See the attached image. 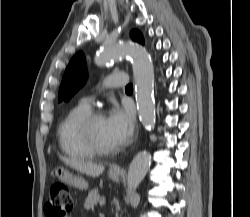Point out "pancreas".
<instances>
[{
    "label": "pancreas",
    "instance_id": "pancreas-1",
    "mask_svg": "<svg viewBox=\"0 0 250 217\" xmlns=\"http://www.w3.org/2000/svg\"><path fill=\"white\" fill-rule=\"evenodd\" d=\"M99 200H100V196L98 195V189L91 190L88 193V196L85 200L84 208L86 210L93 209Z\"/></svg>",
    "mask_w": 250,
    "mask_h": 217
}]
</instances>
